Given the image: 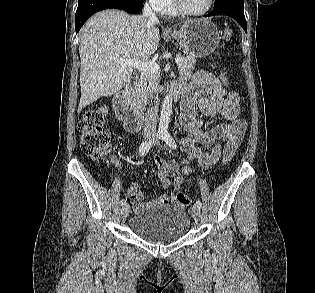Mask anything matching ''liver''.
Masks as SVG:
<instances>
[{
  "instance_id": "1",
  "label": "liver",
  "mask_w": 315,
  "mask_h": 293,
  "mask_svg": "<svg viewBox=\"0 0 315 293\" xmlns=\"http://www.w3.org/2000/svg\"><path fill=\"white\" fill-rule=\"evenodd\" d=\"M159 40V29L148 27L142 15L131 16L118 10L93 15L80 33L79 111L129 83L133 68L123 67L118 58H148L157 50Z\"/></svg>"
}]
</instances>
